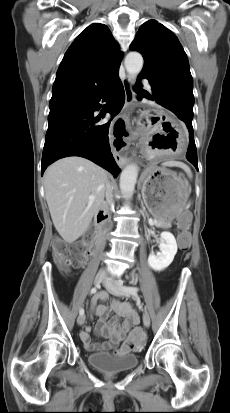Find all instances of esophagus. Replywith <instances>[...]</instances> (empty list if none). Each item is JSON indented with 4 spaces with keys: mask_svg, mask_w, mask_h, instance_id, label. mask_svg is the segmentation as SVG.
Listing matches in <instances>:
<instances>
[{
    "mask_svg": "<svg viewBox=\"0 0 230 413\" xmlns=\"http://www.w3.org/2000/svg\"><path fill=\"white\" fill-rule=\"evenodd\" d=\"M122 83H123L124 92H125V105L119 117H122L124 119V116L128 112L129 107L134 103V93H133L134 78L131 76H127L122 81ZM115 160L120 167L125 166L129 162V158L121 156L119 154H115Z\"/></svg>",
    "mask_w": 230,
    "mask_h": 413,
    "instance_id": "obj_1",
    "label": "esophagus"
}]
</instances>
